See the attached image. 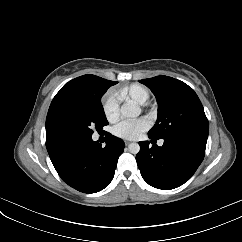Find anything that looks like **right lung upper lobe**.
I'll list each match as a JSON object with an SVG mask.
<instances>
[{"instance_id": "cb5924a9", "label": "right lung upper lobe", "mask_w": 242, "mask_h": 242, "mask_svg": "<svg viewBox=\"0 0 242 242\" xmlns=\"http://www.w3.org/2000/svg\"><path fill=\"white\" fill-rule=\"evenodd\" d=\"M115 81L103 79L95 75H83L66 83L56 95L77 93L83 95L95 94L114 85ZM48 136H46L47 138Z\"/></svg>"}]
</instances>
